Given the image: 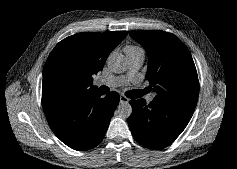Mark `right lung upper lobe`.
Segmentation results:
<instances>
[{"instance_id": "cb5924a9", "label": "right lung upper lobe", "mask_w": 237, "mask_h": 169, "mask_svg": "<svg viewBox=\"0 0 237 169\" xmlns=\"http://www.w3.org/2000/svg\"><path fill=\"white\" fill-rule=\"evenodd\" d=\"M126 35V31L77 33L59 42L43 69L44 113L93 89L92 75L102 70L108 55Z\"/></svg>"}]
</instances>
